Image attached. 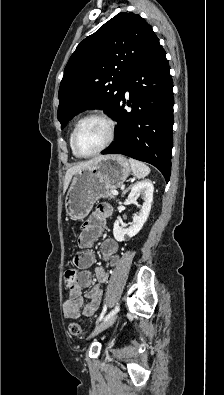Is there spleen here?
Listing matches in <instances>:
<instances>
[{
    "label": "spleen",
    "instance_id": "spleen-1",
    "mask_svg": "<svg viewBox=\"0 0 224 395\" xmlns=\"http://www.w3.org/2000/svg\"><path fill=\"white\" fill-rule=\"evenodd\" d=\"M129 163L134 176L137 178H144L150 173V168L138 160L130 158Z\"/></svg>",
    "mask_w": 224,
    "mask_h": 395
}]
</instances>
